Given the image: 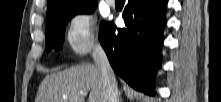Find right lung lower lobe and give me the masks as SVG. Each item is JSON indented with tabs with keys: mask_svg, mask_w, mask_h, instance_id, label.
Segmentation results:
<instances>
[{
	"mask_svg": "<svg viewBox=\"0 0 221 102\" xmlns=\"http://www.w3.org/2000/svg\"><path fill=\"white\" fill-rule=\"evenodd\" d=\"M168 0H128L122 17L126 28L105 22L100 43L114 71L134 89L154 95V76L161 63Z\"/></svg>",
	"mask_w": 221,
	"mask_h": 102,
	"instance_id": "1",
	"label": "right lung lower lobe"
}]
</instances>
